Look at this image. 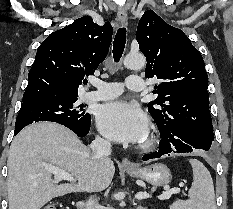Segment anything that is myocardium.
Instances as JSON below:
<instances>
[{
	"mask_svg": "<svg viewBox=\"0 0 233 209\" xmlns=\"http://www.w3.org/2000/svg\"><path fill=\"white\" fill-rule=\"evenodd\" d=\"M155 143H156V138L154 134L148 133L146 137L140 143V148L148 150L152 148L155 145Z\"/></svg>",
	"mask_w": 233,
	"mask_h": 209,
	"instance_id": "1",
	"label": "myocardium"
}]
</instances>
